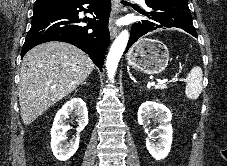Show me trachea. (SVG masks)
<instances>
[{"label":"trachea","instance_id":"3493384b","mask_svg":"<svg viewBox=\"0 0 227 166\" xmlns=\"http://www.w3.org/2000/svg\"><path fill=\"white\" fill-rule=\"evenodd\" d=\"M124 4H126V2L125 1H122Z\"/></svg>","mask_w":227,"mask_h":166}]
</instances>
